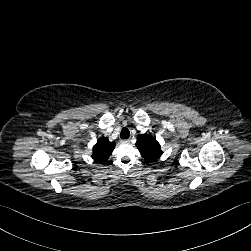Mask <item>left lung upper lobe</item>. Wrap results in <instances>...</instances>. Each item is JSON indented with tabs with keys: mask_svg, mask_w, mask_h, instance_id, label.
<instances>
[{
	"mask_svg": "<svg viewBox=\"0 0 251 251\" xmlns=\"http://www.w3.org/2000/svg\"><path fill=\"white\" fill-rule=\"evenodd\" d=\"M136 146L141 156L146 162H154L162 155L161 147L156 139L148 134H140L137 136Z\"/></svg>",
	"mask_w": 251,
	"mask_h": 251,
	"instance_id": "left-lung-upper-lobe-1",
	"label": "left lung upper lobe"
}]
</instances>
